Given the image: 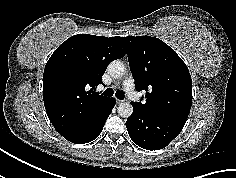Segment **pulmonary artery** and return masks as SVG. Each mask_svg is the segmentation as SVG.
<instances>
[{"instance_id": "1", "label": "pulmonary artery", "mask_w": 236, "mask_h": 178, "mask_svg": "<svg viewBox=\"0 0 236 178\" xmlns=\"http://www.w3.org/2000/svg\"><path fill=\"white\" fill-rule=\"evenodd\" d=\"M123 88L126 91L127 96H129L132 99H137L138 98V93L134 88L133 84V79L132 78H127L123 82Z\"/></svg>"}]
</instances>
